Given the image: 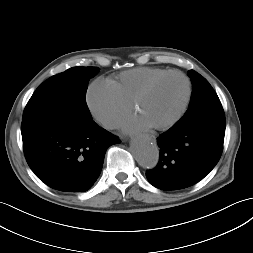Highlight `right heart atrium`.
<instances>
[{
	"mask_svg": "<svg viewBox=\"0 0 253 253\" xmlns=\"http://www.w3.org/2000/svg\"><path fill=\"white\" fill-rule=\"evenodd\" d=\"M86 104L91 115L107 128L115 127L130 109L114 86L101 78L89 85Z\"/></svg>",
	"mask_w": 253,
	"mask_h": 253,
	"instance_id": "obj_1",
	"label": "right heart atrium"
}]
</instances>
